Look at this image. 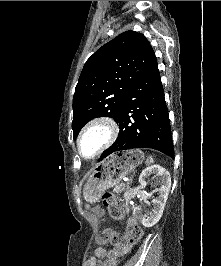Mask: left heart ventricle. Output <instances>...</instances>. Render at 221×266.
Returning a JSON list of instances; mask_svg holds the SVG:
<instances>
[{
  "label": "left heart ventricle",
  "mask_w": 221,
  "mask_h": 266,
  "mask_svg": "<svg viewBox=\"0 0 221 266\" xmlns=\"http://www.w3.org/2000/svg\"><path fill=\"white\" fill-rule=\"evenodd\" d=\"M107 137V130L98 126L90 130L81 143L82 152L85 156L92 155L104 142Z\"/></svg>",
  "instance_id": "1"
}]
</instances>
